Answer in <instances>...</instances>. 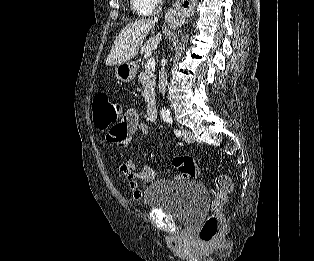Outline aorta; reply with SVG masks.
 Instances as JSON below:
<instances>
[{
    "mask_svg": "<svg viewBox=\"0 0 314 261\" xmlns=\"http://www.w3.org/2000/svg\"><path fill=\"white\" fill-rule=\"evenodd\" d=\"M169 115H170L169 110L166 109V108H162V110H161V116L165 118V117H169Z\"/></svg>",
    "mask_w": 314,
    "mask_h": 261,
    "instance_id": "762f6f07",
    "label": "aorta"
}]
</instances>
